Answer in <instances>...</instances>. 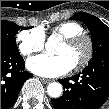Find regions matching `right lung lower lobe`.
Listing matches in <instances>:
<instances>
[{"label":"right lung lower lobe","mask_w":109,"mask_h":109,"mask_svg":"<svg viewBox=\"0 0 109 109\" xmlns=\"http://www.w3.org/2000/svg\"><path fill=\"white\" fill-rule=\"evenodd\" d=\"M24 68L20 54L1 52V109L14 104L24 82L32 77Z\"/></svg>","instance_id":"right-lung-lower-lobe-1"}]
</instances>
